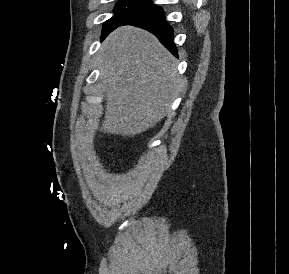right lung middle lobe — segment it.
Returning <instances> with one entry per match:
<instances>
[{
  "instance_id": "1",
  "label": "right lung middle lobe",
  "mask_w": 289,
  "mask_h": 274,
  "mask_svg": "<svg viewBox=\"0 0 289 274\" xmlns=\"http://www.w3.org/2000/svg\"><path fill=\"white\" fill-rule=\"evenodd\" d=\"M155 5L150 0H120L115 9V15L106 21L102 38L131 18L149 10Z\"/></svg>"
}]
</instances>
